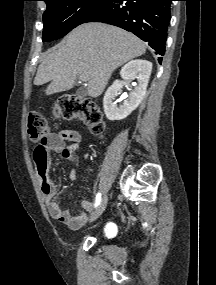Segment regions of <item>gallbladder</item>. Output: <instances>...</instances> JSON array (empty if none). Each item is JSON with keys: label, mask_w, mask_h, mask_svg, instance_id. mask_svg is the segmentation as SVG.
<instances>
[{"label": "gallbladder", "mask_w": 216, "mask_h": 285, "mask_svg": "<svg viewBox=\"0 0 216 285\" xmlns=\"http://www.w3.org/2000/svg\"><path fill=\"white\" fill-rule=\"evenodd\" d=\"M87 94V91L85 88L81 87L79 88L77 91H76V95L79 97V98H83L84 96H86Z\"/></svg>", "instance_id": "gallbladder-1"}]
</instances>
